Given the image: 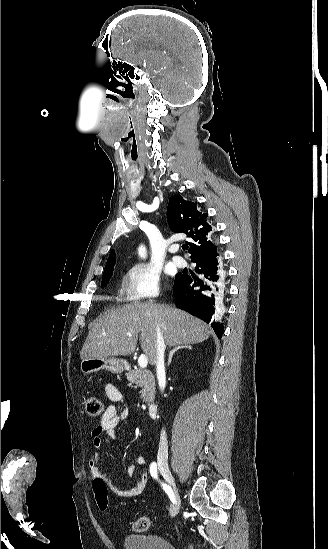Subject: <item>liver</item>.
Here are the masks:
<instances>
[{
    "label": "liver",
    "mask_w": 328,
    "mask_h": 549,
    "mask_svg": "<svg viewBox=\"0 0 328 549\" xmlns=\"http://www.w3.org/2000/svg\"><path fill=\"white\" fill-rule=\"evenodd\" d=\"M156 329H160L168 347L203 343L211 333L204 321L173 305L133 301L96 319L82 347L81 359L131 355L140 333L142 351L150 365H155Z\"/></svg>",
    "instance_id": "1"
}]
</instances>
